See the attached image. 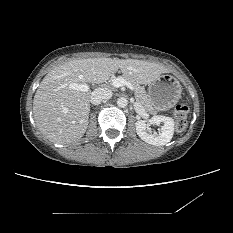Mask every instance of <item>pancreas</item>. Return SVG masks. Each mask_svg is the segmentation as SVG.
<instances>
[{"label": "pancreas", "instance_id": "obj_1", "mask_svg": "<svg viewBox=\"0 0 233 233\" xmlns=\"http://www.w3.org/2000/svg\"><path fill=\"white\" fill-rule=\"evenodd\" d=\"M123 78L126 79L124 76H123ZM127 81H129V80H127ZM129 82L133 85L134 95H135L136 101L142 107H144L147 111H149L151 113L155 112L154 108L152 107V105L150 104V102L148 100V96H147L145 89L142 86H140L138 83H134L131 81H129Z\"/></svg>", "mask_w": 233, "mask_h": 233}]
</instances>
